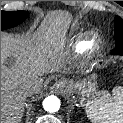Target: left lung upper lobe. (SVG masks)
<instances>
[{
  "mask_svg": "<svg viewBox=\"0 0 123 123\" xmlns=\"http://www.w3.org/2000/svg\"><path fill=\"white\" fill-rule=\"evenodd\" d=\"M115 42L116 47L112 51L114 55H123V20L119 17H115Z\"/></svg>",
  "mask_w": 123,
  "mask_h": 123,
  "instance_id": "left-lung-upper-lobe-1",
  "label": "left lung upper lobe"
}]
</instances>
